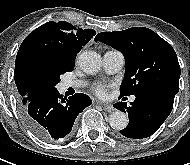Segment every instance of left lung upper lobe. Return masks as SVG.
<instances>
[{
  "label": "left lung upper lobe",
  "instance_id": "1",
  "mask_svg": "<svg viewBox=\"0 0 190 165\" xmlns=\"http://www.w3.org/2000/svg\"><path fill=\"white\" fill-rule=\"evenodd\" d=\"M119 50L125 57L126 72L120 90L129 96L150 90L179 91L180 66L172 46L154 31L133 27L101 32L95 37Z\"/></svg>",
  "mask_w": 190,
  "mask_h": 165
}]
</instances>
